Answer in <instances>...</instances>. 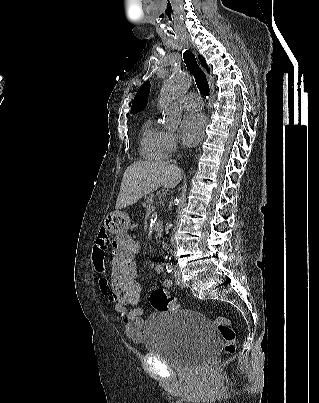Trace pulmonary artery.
I'll use <instances>...</instances> for the list:
<instances>
[{
    "label": "pulmonary artery",
    "mask_w": 319,
    "mask_h": 403,
    "mask_svg": "<svg viewBox=\"0 0 319 403\" xmlns=\"http://www.w3.org/2000/svg\"><path fill=\"white\" fill-rule=\"evenodd\" d=\"M184 105L192 111H198L202 108L203 102L197 94L189 93L184 99Z\"/></svg>",
    "instance_id": "obj_1"
}]
</instances>
